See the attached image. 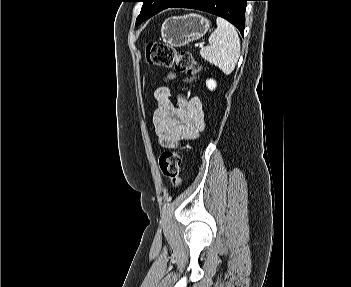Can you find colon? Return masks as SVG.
Segmentation results:
<instances>
[{
  "mask_svg": "<svg viewBox=\"0 0 351 287\" xmlns=\"http://www.w3.org/2000/svg\"><path fill=\"white\" fill-rule=\"evenodd\" d=\"M146 59L149 64L162 67H175L185 74L189 83L195 81L199 66L192 55L186 51H177L174 47L153 42L146 46ZM181 156L178 150H167L160 155L159 166L163 175L177 187L180 184Z\"/></svg>",
  "mask_w": 351,
  "mask_h": 287,
  "instance_id": "1",
  "label": "colon"
}]
</instances>
